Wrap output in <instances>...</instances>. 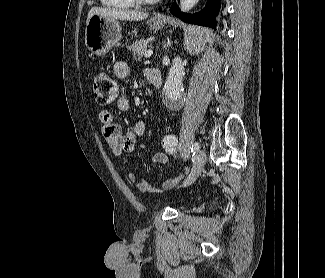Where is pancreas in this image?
<instances>
[{"instance_id":"pancreas-1","label":"pancreas","mask_w":325,"mask_h":278,"mask_svg":"<svg viewBox=\"0 0 325 278\" xmlns=\"http://www.w3.org/2000/svg\"><path fill=\"white\" fill-rule=\"evenodd\" d=\"M148 40L140 39L133 42L129 47V51L132 52L133 58L140 60L147 51Z\"/></svg>"}]
</instances>
